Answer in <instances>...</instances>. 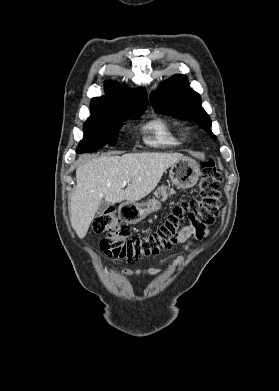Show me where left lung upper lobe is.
I'll list each match as a JSON object with an SVG mask.
<instances>
[{"instance_id":"left-lung-upper-lobe-1","label":"left lung upper lobe","mask_w":279,"mask_h":391,"mask_svg":"<svg viewBox=\"0 0 279 391\" xmlns=\"http://www.w3.org/2000/svg\"><path fill=\"white\" fill-rule=\"evenodd\" d=\"M150 98L157 112L197 122L216 140L211 131V119L201 106L199 94L189 88L186 76L174 75L164 81Z\"/></svg>"}]
</instances>
